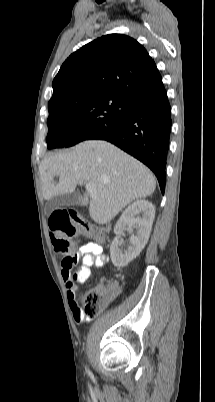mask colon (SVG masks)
<instances>
[{"label":"colon","mask_w":215,"mask_h":402,"mask_svg":"<svg viewBox=\"0 0 215 402\" xmlns=\"http://www.w3.org/2000/svg\"><path fill=\"white\" fill-rule=\"evenodd\" d=\"M49 227L54 250L65 256L61 264L75 272L78 262L74 256L81 244L78 241H69V238L76 234L99 238L98 233L74 212L67 210L55 211L49 219ZM110 297V291L89 290L82 296L81 311L86 316H96L106 306Z\"/></svg>","instance_id":"obj_1"}]
</instances>
